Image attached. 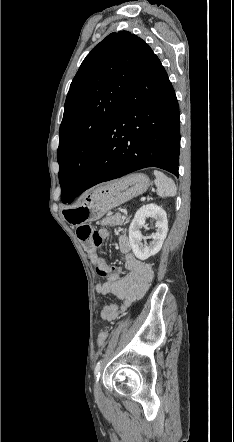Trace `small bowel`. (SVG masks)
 <instances>
[{
  "mask_svg": "<svg viewBox=\"0 0 234 442\" xmlns=\"http://www.w3.org/2000/svg\"><path fill=\"white\" fill-rule=\"evenodd\" d=\"M124 218L121 214H114L102 220L107 227L119 226ZM103 241L108 237V230L103 228L98 231ZM118 249L125 260L126 274L121 276L117 267L110 266L106 259L96 253H90V259L99 275L103 277L96 284V292L102 295H115L122 302L108 303L101 310V318L105 321L117 319L127 307L135 300L140 299L146 292L153 279V270L149 263L137 259L131 253V242L128 236L122 234L118 239Z\"/></svg>",
  "mask_w": 234,
  "mask_h": 442,
  "instance_id": "small-bowel-1",
  "label": "small bowel"
}]
</instances>
